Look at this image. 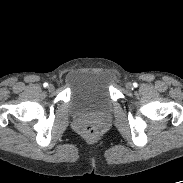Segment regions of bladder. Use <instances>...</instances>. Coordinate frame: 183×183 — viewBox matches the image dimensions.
Returning <instances> with one entry per match:
<instances>
[{"instance_id":"31cf9c89","label":"bladder","mask_w":183,"mask_h":183,"mask_svg":"<svg viewBox=\"0 0 183 183\" xmlns=\"http://www.w3.org/2000/svg\"><path fill=\"white\" fill-rule=\"evenodd\" d=\"M112 103L110 83L105 71L87 69L74 76L69 99L73 113L107 112Z\"/></svg>"}]
</instances>
